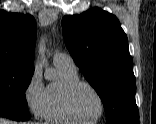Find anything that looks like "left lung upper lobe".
<instances>
[{"instance_id":"left-lung-upper-lobe-1","label":"left lung upper lobe","mask_w":156,"mask_h":124,"mask_svg":"<svg viewBox=\"0 0 156 124\" xmlns=\"http://www.w3.org/2000/svg\"><path fill=\"white\" fill-rule=\"evenodd\" d=\"M62 28L70 55L103 102L106 124H139L133 60L119 20L93 8L65 16Z\"/></svg>"}]
</instances>
